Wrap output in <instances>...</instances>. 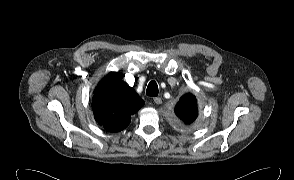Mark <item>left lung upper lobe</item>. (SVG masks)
Segmentation results:
<instances>
[{
    "label": "left lung upper lobe",
    "instance_id": "obj_1",
    "mask_svg": "<svg viewBox=\"0 0 294 180\" xmlns=\"http://www.w3.org/2000/svg\"><path fill=\"white\" fill-rule=\"evenodd\" d=\"M175 115L187 125L192 124L198 116L197 101L192 94L184 95L175 107Z\"/></svg>",
    "mask_w": 294,
    "mask_h": 180
}]
</instances>
